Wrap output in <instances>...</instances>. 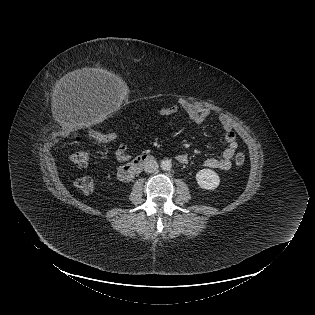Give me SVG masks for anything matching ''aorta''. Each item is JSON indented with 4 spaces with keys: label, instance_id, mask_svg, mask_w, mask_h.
Returning a JSON list of instances; mask_svg holds the SVG:
<instances>
[{
    "label": "aorta",
    "instance_id": "762f6f07",
    "mask_svg": "<svg viewBox=\"0 0 315 315\" xmlns=\"http://www.w3.org/2000/svg\"><path fill=\"white\" fill-rule=\"evenodd\" d=\"M160 167L164 171L171 170V168H172L171 160H168V159L162 160L161 163H160Z\"/></svg>",
    "mask_w": 315,
    "mask_h": 315
}]
</instances>
